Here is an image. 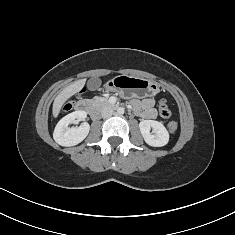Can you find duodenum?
I'll return each instance as SVG.
<instances>
[{
  "label": "duodenum",
  "instance_id": "duodenum-1",
  "mask_svg": "<svg viewBox=\"0 0 235 235\" xmlns=\"http://www.w3.org/2000/svg\"><path fill=\"white\" fill-rule=\"evenodd\" d=\"M76 109L79 112H88L93 116L97 115V112L93 109L92 103L89 99H83L79 101L76 105Z\"/></svg>",
  "mask_w": 235,
  "mask_h": 235
}]
</instances>
